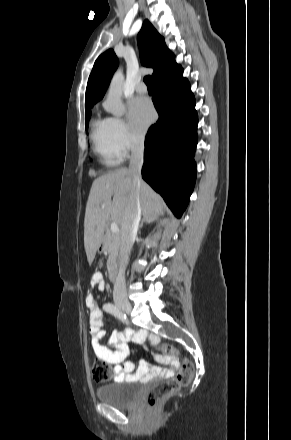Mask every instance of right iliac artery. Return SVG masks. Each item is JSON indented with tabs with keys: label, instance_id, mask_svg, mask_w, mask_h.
Returning a JSON list of instances; mask_svg holds the SVG:
<instances>
[{
	"label": "right iliac artery",
	"instance_id": "right-iliac-artery-1",
	"mask_svg": "<svg viewBox=\"0 0 291 440\" xmlns=\"http://www.w3.org/2000/svg\"><path fill=\"white\" fill-rule=\"evenodd\" d=\"M106 311L120 319L123 323H127V317L126 315L116 306L112 304H108L106 306Z\"/></svg>",
	"mask_w": 291,
	"mask_h": 440
}]
</instances>
